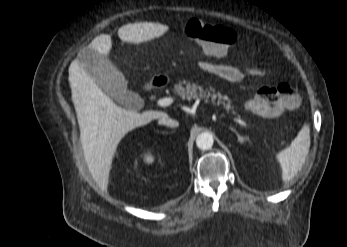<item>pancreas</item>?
I'll list each match as a JSON object with an SVG mask.
<instances>
[{
    "label": "pancreas",
    "instance_id": "pancreas-1",
    "mask_svg": "<svg viewBox=\"0 0 347 247\" xmlns=\"http://www.w3.org/2000/svg\"><path fill=\"white\" fill-rule=\"evenodd\" d=\"M211 90L212 94L210 93V90H204L203 87L185 80L179 81V83L174 84L172 87V91L181 98H187L188 100L206 99V102L211 98L214 105H222L223 109H225L227 113L237 115V117L240 118V115H238L234 110L230 99L226 95H222L220 92H215L214 89Z\"/></svg>",
    "mask_w": 347,
    "mask_h": 247
}]
</instances>
